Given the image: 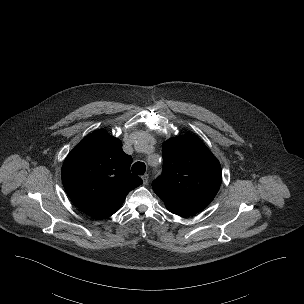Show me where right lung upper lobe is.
<instances>
[{
	"instance_id": "obj_1",
	"label": "right lung upper lobe",
	"mask_w": 304,
	"mask_h": 304,
	"mask_svg": "<svg viewBox=\"0 0 304 304\" xmlns=\"http://www.w3.org/2000/svg\"><path fill=\"white\" fill-rule=\"evenodd\" d=\"M131 163L118 139L104 130L95 131L68 154L62 167L63 186L84 213L107 218L142 184V179L130 172Z\"/></svg>"
}]
</instances>
